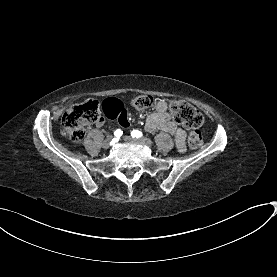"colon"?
I'll return each mask as SVG.
<instances>
[{
	"mask_svg": "<svg viewBox=\"0 0 277 277\" xmlns=\"http://www.w3.org/2000/svg\"><path fill=\"white\" fill-rule=\"evenodd\" d=\"M129 106L138 110L153 106L154 99L151 95H138L129 98ZM100 104L95 99H87L82 105H74L67 109L61 118L65 135L74 142L81 141L86 132V127L103 116L99 114ZM169 111L175 120L191 130L187 143L191 148H199L202 145V134L199 128L204 121L203 114L194 106L180 100H172L169 103Z\"/></svg>",
	"mask_w": 277,
	"mask_h": 277,
	"instance_id": "5ec220e1",
	"label": "colon"
}]
</instances>
